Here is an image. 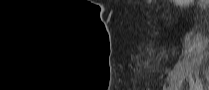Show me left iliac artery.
<instances>
[{
    "instance_id": "1",
    "label": "left iliac artery",
    "mask_w": 209,
    "mask_h": 90,
    "mask_svg": "<svg viewBox=\"0 0 209 90\" xmlns=\"http://www.w3.org/2000/svg\"><path fill=\"white\" fill-rule=\"evenodd\" d=\"M197 86H201V83H200V81L198 80V82H197Z\"/></svg>"
}]
</instances>
